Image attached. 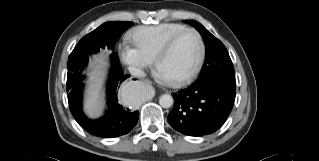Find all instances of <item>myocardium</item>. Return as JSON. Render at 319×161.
Listing matches in <instances>:
<instances>
[{
  "label": "myocardium",
  "instance_id": "obj_1",
  "mask_svg": "<svg viewBox=\"0 0 319 161\" xmlns=\"http://www.w3.org/2000/svg\"><path fill=\"white\" fill-rule=\"evenodd\" d=\"M188 33H193L197 37L198 45H199V55L197 58V61L194 65V67L186 74L175 77V78H166L163 77L164 80L170 84V85H181L184 84L188 81H190L192 78H194L199 70L202 67L203 61H204V56H205V44L204 40L202 38V35L193 28H187L183 31L178 32L177 34L173 35L161 48V50L158 52L154 59V68L157 72H159V66L161 62L168 56V54L172 51L174 48L175 44L178 42V40L183 37L184 35Z\"/></svg>",
  "mask_w": 319,
  "mask_h": 161
}]
</instances>
